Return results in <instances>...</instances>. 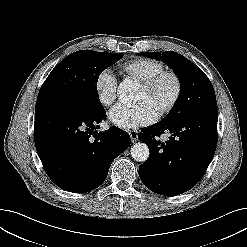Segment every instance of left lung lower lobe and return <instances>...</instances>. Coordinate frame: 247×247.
Listing matches in <instances>:
<instances>
[{"label": "left lung lower lobe", "mask_w": 247, "mask_h": 247, "mask_svg": "<svg viewBox=\"0 0 247 247\" xmlns=\"http://www.w3.org/2000/svg\"><path fill=\"white\" fill-rule=\"evenodd\" d=\"M218 115L199 114L173 122L160 121L142 130L138 138L150 150L139 167L143 184L151 191L175 196L194 187L205 174L217 145ZM170 133L168 141L159 137Z\"/></svg>", "instance_id": "1"}]
</instances>
